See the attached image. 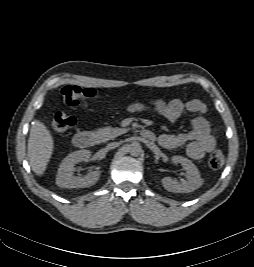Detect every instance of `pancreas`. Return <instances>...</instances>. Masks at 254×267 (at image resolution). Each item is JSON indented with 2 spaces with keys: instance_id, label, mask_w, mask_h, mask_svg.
<instances>
[{
  "instance_id": "cf45deb5",
  "label": "pancreas",
  "mask_w": 254,
  "mask_h": 267,
  "mask_svg": "<svg viewBox=\"0 0 254 267\" xmlns=\"http://www.w3.org/2000/svg\"><path fill=\"white\" fill-rule=\"evenodd\" d=\"M94 133L101 142H106L122 134L123 130L117 128H100Z\"/></svg>"
}]
</instances>
